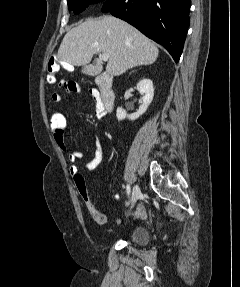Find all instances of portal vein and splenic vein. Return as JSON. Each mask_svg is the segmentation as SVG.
<instances>
[{
  "mask_svg": "<svg viewBox=\"0 0 240 287\" xmlns=\"http://www.w3.org/2000/svg\"><path fill=\"white\" fill-rule=\"evenodd\" d=\"M101 59H102L103 61H108V59H109L108 54H107V53H103V54L101 55Z\"/></svg>",
  "mask_w": 240,
  "mask_h": 287,
  "instance_id": "1",
  "label": "portal vein and splenic vein"
}]
</instances>
